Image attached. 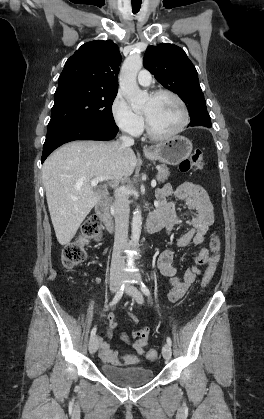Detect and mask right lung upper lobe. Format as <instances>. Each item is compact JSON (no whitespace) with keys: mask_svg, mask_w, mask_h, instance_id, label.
<instances>
[{"mask_svg":"<svg viewBox=\"0 0 264 419\" xmlns=\"http://www.w3.org/2000/svg\"><path fill=\"white\" fill-rule=\"evenodd\" d=\"M121 54L112 41L83 44L65 63L58 87L79 84L92 90L117 92Z\"/></svg>","mask_w":264,"mask_h":419,"instance_id":"obj_1","label":"right lung upper lobe"}]
</instances>
